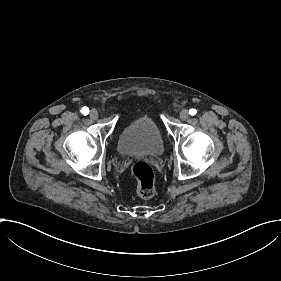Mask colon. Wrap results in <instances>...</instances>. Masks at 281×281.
<instances>
[{
    "label": "colon",
    "mask_w": 281,
    "mask_h": 281,
    "mask_svg": "<svg viewBox=\"0 0 281 281\" xmlns=\"http://www.w3.org/2000/svg\"><path fill=\"white\" fill-rule=\"evenodd\" d=\"M130 177L137 183V194L150 196L156 187V177L152 167L143 161L134 162L129 168Z\"/></svg>",
    "instance_id": "colon-1"
}]
</instances>
